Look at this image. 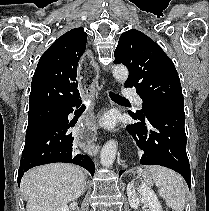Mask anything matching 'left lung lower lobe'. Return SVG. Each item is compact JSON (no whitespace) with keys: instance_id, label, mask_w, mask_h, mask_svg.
Returning <instances> with one entry per match:
<instances>
[{"instance_id":"1","label":"left lung lower lobe","mask_w":209,"mask_h":211,"mask_svg":"<svg viewBox=\"0 0 209 211\" xmlns=\"http://www.w3.org/2000/svg\"><path fill=\"white\" fill-rule=\"evenodd\" d=\"M139 122L127 131L143 150L140 163L161 165L180 173L191 187V173L186 153L185 113L181 107H152L143 116L129 111ZM124 171H120L119 176Z\"/></svg>"}]
</instances>
